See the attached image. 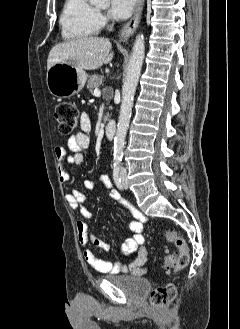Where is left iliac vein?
<instances>
[{
  "instance_id": "1",
  "label": "left iliac vein",
  "mask_w": 240,
  "mask_h": 329,
  "mask_svg": "<svg viewBox=\"0 0 240 329\" xmlns=\"http://www.w3.org/2000/svg\"><path fill=\"white\" fill-rule=\"evenodd\" d=\"M121 177H122L123 186L125 189H127L128 188L127 179L124 174H122Z\"/></svg>"
}]
</instances>
